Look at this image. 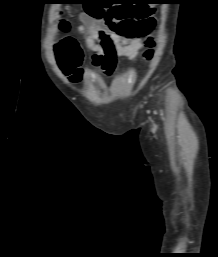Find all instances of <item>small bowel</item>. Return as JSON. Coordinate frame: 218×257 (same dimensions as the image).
Masks as SVG:
<instances>
[{
    "mask_svg": "<svg viewBox=\"0 0 218 257\" xmlns=\"http://www.w3.org/2000/svg\"><path fill=\"white\" fill-rule=\"evenodd\" d=\"M76 29L85 36L86 46L94 52H88L90 64H97V73H119V59L133 60L137 57L144 42L140 38H128L116 33L103 19H97L88 13H82ZM83 69L74 71L73 79L79 80Z\"/></svg>",
    "mask_w": 218,
    "mask_h": 257,
    "instance_id": "1",
    "label": "small bowel"
}]
</instances>
